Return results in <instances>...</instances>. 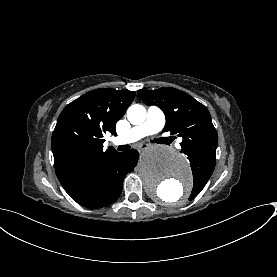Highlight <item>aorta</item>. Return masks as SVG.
Segmentation results:
<instances>
[{
  "label": "aorta",
  "instance_id": "aorta-1",
  "mask_svg": "<svg viewBox=\"0 0 277 277\" xmlns=\"http://www.w3.org/2000/svg\"><path fill=\"white\" fill-rule=\"evenodd\" d=\"M127 117L133 125L142 124L146 119V109L134 104L129 107ZM138 172L150 196L166 203L181 202L192 188L187 159L167 147L147 149L139 162Z\"/></svg>",
  "mask_w": 277,
  "mask_h": 277
}]
</instances>
